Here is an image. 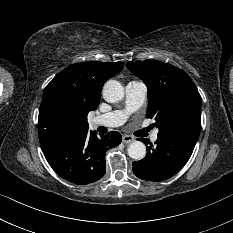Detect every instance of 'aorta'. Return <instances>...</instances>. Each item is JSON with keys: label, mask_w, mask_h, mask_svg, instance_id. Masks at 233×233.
Listing matches in <instances>:
<instances>
[{"label": "aorta", "mask_w": 233, "mask_h": 233, "mask_svg": "<svg viewBox=\"0 0 233 233\" xmlns=\"http://www.w3.org/2000/svg\"><path fill=\"white\" fill-rule=\"evenodd\" d=\"M103 97L109 103H115L123 99L124 88L120 82L109 80L103 87ZM128 155L136 160H142L146 156V146L141 141H134L128 146Z\"/></svg>", "instance_id": "obj_1"}]
</instances>
